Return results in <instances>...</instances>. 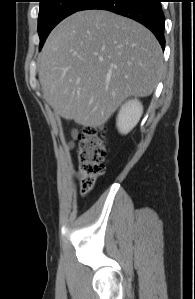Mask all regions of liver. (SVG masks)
<instances>
[{"instance_id":"6515ba94","label":"liver","mask_w":195,"mask_h":299,"mask_svg":"<svg viewBox=\"0 0 195 299\" xmlns=\"http://www.w3.org/2000/svg\"><path fill=\"white\" fill-rule=\"evenodd\" d=\"M163 69L161 47L143 25L104 10L76 12L48 36L39 81L58 115L101 127L129 97L149 96Z\"/></svg>"}]
</instances>
